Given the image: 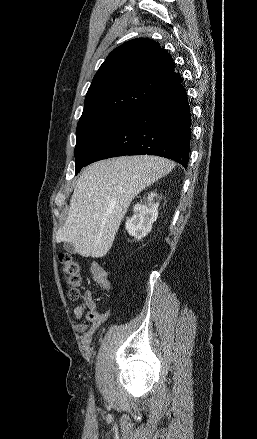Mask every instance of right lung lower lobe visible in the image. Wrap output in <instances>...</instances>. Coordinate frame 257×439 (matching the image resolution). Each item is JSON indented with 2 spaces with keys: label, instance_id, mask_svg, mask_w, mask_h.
Masks as SVG:
<instances>
[{
  "label": "right lung lower lobe",
  "instance_id": "1",
  "mask_svg": "<svg viewBox=\"0 0 257 439\" xmlns=\"http://www.w3.org/2000/svg\"><path fill=\"white\" fill-rule=\"evenodd\" d=\"M191 115L182 84L126 117L96 148L84 166L124 155H158L187 167Z\"/></svg>",
  "mask_w": 257,
  "mask_h": 439
}]
</instances>
